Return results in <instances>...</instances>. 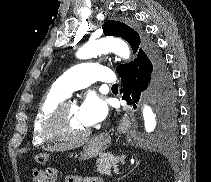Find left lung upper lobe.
Returning <instances> with one entry per match:
<instances>
[{
	"label": "left lung upper lobe",
	"instance_id": "left-lung-upper-lobe-1",
	"mask_svg": "<svg viewBox=\"0 0 211 182\" xmlns=\"http://www.w3.org/2000/svg\"><path fill=\"white\" fill-rule=\"evenodd\" d=\"M103 30L106 36H117L128 41V43L131 45L133 49L134 54L137 55L139 51L143 50L142 48H139L140 43H141L139 34L136 31H134L131 27L127 26L126 24L122 22H118V21L107 20L103 25ZM142 47L143 48L145 47L144 42L142 44ZM132 63L119 65L116 68L118 74L128 69L132 65ZM175 113H176V110L174 107L170 111V116L168 118V121H173Z\"/></svg>",
	"mask_w": 211,
	"mask_h": 182
}]
</instances>
